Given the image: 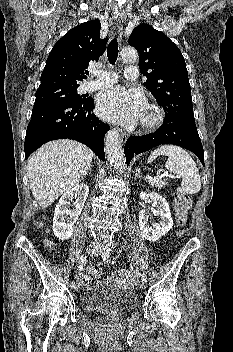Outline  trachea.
I'll list each match as a JSON object with an SVG mask.
<instances>
[{
    "label": "trachea",
    "instance_id": "obj_1",
    "mask_svg": "<svg viewBox=\"0 0 233 352\" xmlns=\"http://www.w3.org/2000/svg\"><path fill=\"white\" fill-rule=\"evenodd\" d=\"M118 42L117 39L114 38L108 45L107 56L110 64L114 65L117 57H118Z\"/></svg>",
    "mask_w": 233,
    "mask_h": 352
}]
</instances>
